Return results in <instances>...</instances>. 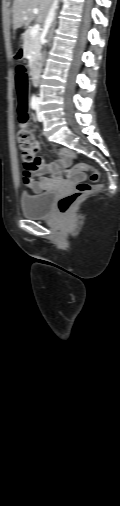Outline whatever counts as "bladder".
<instances>
[{"label": "bladder", "mask_w": 120, "mask_h": 506, "mask_svg": "<svg viewBox=\"0 0 120 506\" xmlns=\"http://www.w3.org/2000/svg\"><path fill=\"white\" fill-rule=\"evenodd\" d=\"M55 191L39 194L22 193L19 197L22 214L30 219H41L49 215L55 199Z\"/></svg>", "instance_id": "bladder-1"}]
</instances>
